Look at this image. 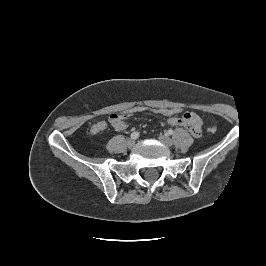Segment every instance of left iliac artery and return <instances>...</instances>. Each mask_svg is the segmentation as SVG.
I'll list each match as a JSON object with an SVG mask.
<instances>
[{"mask_svg":"<svg viewBox=\"0 0 266 266\" xmlns=\"http://www.w3.org/2000/svg\"><path fill=\"white\" fill-rule=\"evenodd\" d=\"M173 133H174V132H173L172 129H169V130L167 131V134H168V135H173Z\"/></svg>","mask_w":266,"mask_h":266,"instance_id":"obj_1","label":"left iliac artery"}]
</instances>
